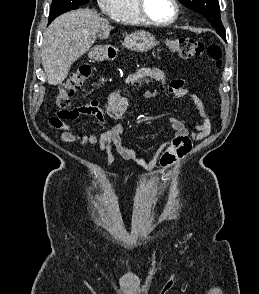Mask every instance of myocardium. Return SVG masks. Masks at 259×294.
Wrapping results in <instances>:
<instances>
[{
  "label": "myocardium",
  "instance_id": "1",
  "mask_svg": "<svg viewBox=\"0 0 259 294\" xmlns=\"http://www.w3.org/2000/svg\"><path fill=\"white\" fill-rule=\"evenodd\" d=\"M171 1L174 6V15L170 20L165 22L156 21L148 15L146 10V2H147L146 0H136V7H137V11L140 18L143 20L144 23L152 25V26H156V27H167L175 23L177 19L179 18V14H180V6L178 3V0H171Z\"/></svg>",
  "mask_w": 259,
  "mask_h": 294
}]
</instances>
